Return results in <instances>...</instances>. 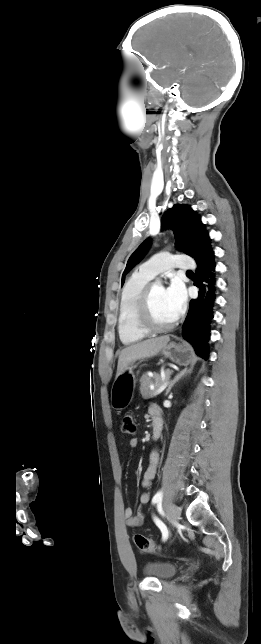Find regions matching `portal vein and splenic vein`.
<instances>
[{
	"mask_svg": "<svg viewBox=\"0 0 261 644\" xmlns=\"http://www.w3.org/2000/svg\"><path fill=\"white\" fill-rule=\"evenodd\" d=\"M169 381L166 380L154 393V396L159 395L168 385Z\"/></svg>",
	"mask_w": 261,
	"mask_h": 644,
	"instance_id": "portal-vein-and-splenic-vein-1",
	"label": "portal vein and splenic vein"
}]
</instances>
